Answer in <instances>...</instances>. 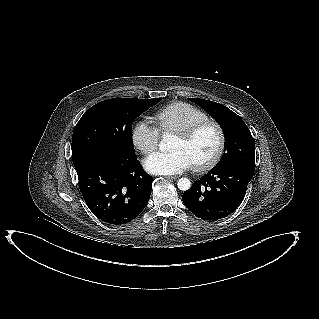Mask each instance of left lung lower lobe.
<instances>
[{
    "label": "left lung lower lobe",
    "instance_id": "0a47b994",
    "mask_svg": "<svg viewBox=\"0 0 319 319\" xmlns=\"http://www.w3.org/2000/svg\"><path fill=\"white\" fill-rule=\"evenodd\" d=\"M253 174L254 169L239 164L213 168L184 192L183 202L201 219L225 218L242 203Z\"/></svg>",
    "mask_w": 319,
    "mask_h": 319
}]
</instances>
